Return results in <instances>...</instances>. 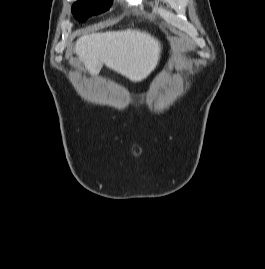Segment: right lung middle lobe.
<instances>
[{
	"label": "right lung middle lobe",
	"instance_id": "1",
	"mask_svg": "<svg viewBox=\"0 0 265 269\" xmlns=\"http://www.w3.org/2000/svg\"><path fill=\"white\" fill-rule=\"evenodd\" d=\"M111 6V0H78L73 4L72 13L75 18L84 22L92 15H98Z\"/></svg>",
	"mask_w": 265,
	"mask_h": 269
}]
</instances>
